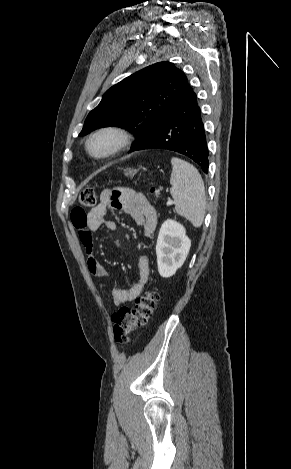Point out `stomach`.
<instances>
[{
    "label": "stomach",
    "instance_id": "0dacf381",
    "mask_svg": "<svg viewBox=\"0 0 291 469\" xmlns=\"http://www.w3.org/2000/svg\"><path fill=\"white\" fill-rule=\"evenodd\" d=\"M135 173H136V171H135V170H132V169H128V170L126 171V175H129V176H133Z\"/></svg>",
    "mask_w": 291,
    "mask_h": 469
}]
</instances>
